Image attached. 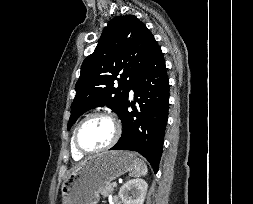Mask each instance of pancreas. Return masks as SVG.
Instances as JSON below:
<instances>
[{
	"label": "pancreas",
	"mask_w": 253,
	"mask_h": 204,
	"mask_svg": "<svg viewBox=\"0 0 253 204\" xmlns=\"http://www.w3.org/2000/svg\"><path fill=\"white\" fill-rule=\"evenodd\" d=\"M114 191V188L111 183L106 184L101 190L100 193L104 197H107L109 194H112Z\"/></svg>",
	"instance_id": "1"
}]
</instances>
